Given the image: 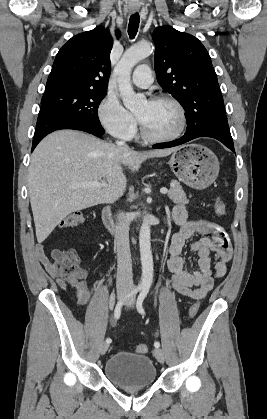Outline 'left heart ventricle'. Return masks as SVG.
<instances>
[{"mask_svg": "<svg viewBox=\"0 0 267 419\" xmlns=\"http://www.w3.org/2000/svg\"><path fill=\"white\" fill-rule=\"evenodd\" d=\"M135 113L147 131L155 136H167L174 133L180 123L178 110L166 101H144Z\"/></svg>", "mask_w": 267, "mask_h": 419, "instance_id": "b2bd125f", "label": "left heart ventricle"}]
</instances>
